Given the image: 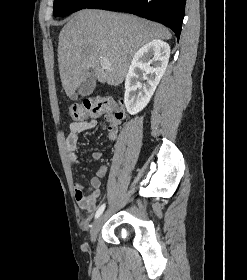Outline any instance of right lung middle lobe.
<instances>
[{
	"label": "right lung middle lobe",
	"instance_id": "obj_1",
	"mask_svg": "<svg viewBox=\"0 0 247 280\" xmlns=\"http://www.w3.org/2000/svg\"><path fill=\"white\" fill-rule=\"evenodd\" d=\"M97 0H55L54 1V16H66L78 10L88 8Z\"/></svg>",
	"mask_w": 247,
	"mask_h": 280
}]
</instances>
